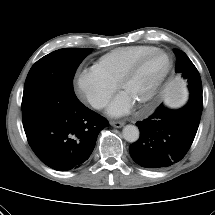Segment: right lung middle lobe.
I'll use <instances>...</instances> for the list:
<instances>
[{
  "mask_svg": "<svg viewBox=\"0 0 215 215\" xmlns=\"http://www.w3.org/2000/svg\"><path fill=\"white\" fill-rule=\"evenodd\" d=\"M90 48H64L38 60L24 85L22 118L24 130L52 111L79 101L73 90L74 73Z\"/></svg>",
  "mask_w": 215,
  "mask_h": 215,
  "instance_id": "1",
  "label": "right lung middle lobe"
}]
</instances>
